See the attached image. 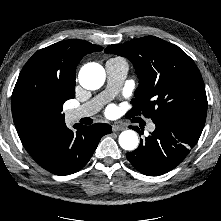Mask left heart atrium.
Returning a JSON list of instances; mask_svg holds the SVG:
<instances>
[{
    "label": "left heart atrium",
    "mask_w": 221,
    "mask_h": 221,
    "mask_svg": "<svg viewBox=\"0 0 221 221\" xmlns=\"http://www.w3.org/2000/svg\"><path fill=\"white\" fill-rule=\"evenodd\" d=\"M115 111V107L114 106H110L108 108V113H113Z\"/></svg>",
    "instance_id": "39dd6f15"
}]
</instances>
